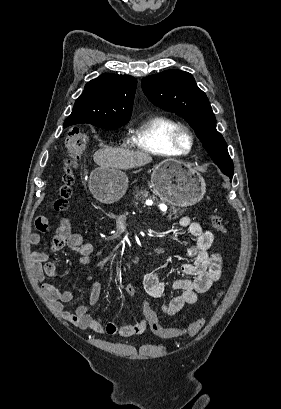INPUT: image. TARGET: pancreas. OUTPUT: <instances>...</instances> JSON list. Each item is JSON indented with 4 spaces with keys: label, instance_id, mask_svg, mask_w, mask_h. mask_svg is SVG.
Listing matches in <instances>:
<instances>
[{
    "label": "pancreas",
    "instance_id": "1",
    "mask_svg": "<svg viewBox=\"0 0 281 409\" xmlns=\"http://www.w3.org/2000/svg\"><path fill=\"white\" fill-rule=\"evenodd\" d=\"M149 192L150 190H146V188H142V190H134L133 198H136V200H144V198H153L154 194H151L150 196ZM153 200H155V198H153ZM169 211L170 213L168 215V219H178V213H180V211H178L176 207H170Z\"/></svg>",
    "mask_w": 281,
    "mask_h": 409
}]
</instances>
